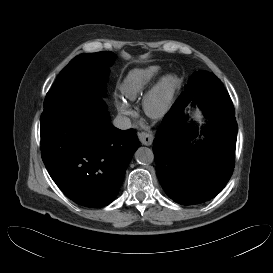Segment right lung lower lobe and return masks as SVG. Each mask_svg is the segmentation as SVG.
Instances as JSON below:
<instances>
[{
  "label": "right lung lower lobe",
  "mask_w": 273,
  "mask_h": 273,
  "mask_svg": "<svg viewBox=\"0 0 273 273\" xmlns=\"http://www.w3.org/2000/svg\"><path fill=\"white\" fill-rule=\"evenodd\" d=\"M43 162L75 203L100 208L116 197L139 146L134 129L110 123L102 96L78 91L44 107L40 118Z\"/></svg>",
  "instance_id": "98d812e1"
}]
</instances>
